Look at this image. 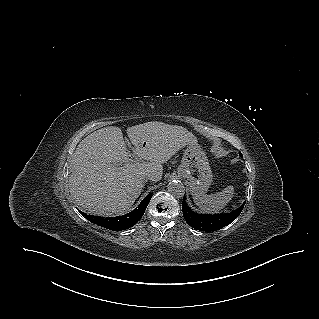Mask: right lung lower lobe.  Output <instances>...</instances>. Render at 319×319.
<instances>
[{
    "mask_svg": "<svg viewBox=\"0 0 319 319\" xmlns=\"http://www.w3.org/2000/svg\"><path fill=\"white\" fill-rule=\"evenodd\" d=\"M151 197H152V193L148 194L137 208H135L132 212L123 216L104 218V217L87 215L83 212H81V214H83L92 223L97 224L101 227H104L113 231H121L134 226L142 218Z\"/></svg>",
    "mask_w": 319,
    "mask_h": 319,
    "instance_id": "1",
    "label": "right lung lower lobe"
}]
</instances>
